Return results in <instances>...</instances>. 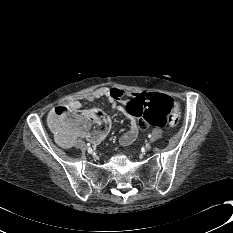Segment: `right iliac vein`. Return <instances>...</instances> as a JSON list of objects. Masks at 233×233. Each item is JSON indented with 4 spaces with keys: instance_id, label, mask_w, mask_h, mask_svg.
<instances>
[{
    "instance_id": "obj_1",
    "label": "right iliac vein",
    "mask_w": 233,
    "mask_h": 233,
    "mask_svg": "<svg viewBox=\"0 0 233 233\" xmlns=\"http://www.w3.org/2000/svg\"><path fill=\"white\" fill-rule=\"evenodd\" d=\"M87 151H88V153H90V154H92V153H93V150H91V149H89V148H88V150H87Z\"/></svg>"
}]
</instances>
